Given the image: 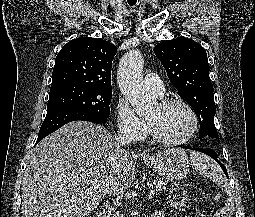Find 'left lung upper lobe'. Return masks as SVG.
I'll return each mask as SVG.
<instances>
[{
    "label": "left lung upper lobe",
    "instance_id": "obj_1",
    "mask_svg": "<svg viewBox=\"0 0 255 217\" xmlns=\"http://www.w3.org/2000/svg\"><path fill=\"white\" fill-rule=\"evenodd\" d=\"M154 52L180 97L199 118V138L217 140L216 107L205 49L194 40L178 37L160 42L154 47Z\"/></svg>",
    "mask_w": 255,
    "mask_h": 217
}]
</instances>
